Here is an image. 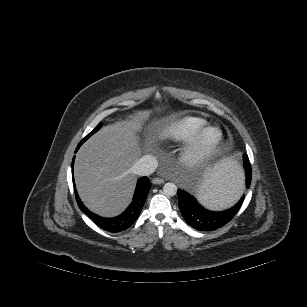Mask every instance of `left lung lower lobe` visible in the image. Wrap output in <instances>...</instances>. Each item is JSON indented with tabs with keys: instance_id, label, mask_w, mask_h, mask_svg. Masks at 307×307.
<instances>
[{
	"instance_id": "1",
	"label": "left lung lower lobe",
	"mask_w": 307,
	"mask_h": 307,
	"mask_svg": "<svg viewBox=\"0 0 307 307\" xmlns=\"http://www.w3.org/2000/svg\"><path fill=\"white\" fill-rule=\"evenodd\" d=\"M244 168L246 174L245 186L241 187V192L245 188L250 187L251 183V165L249 163L248 156L243 155ZM241 192L239 197L241 196ZM179 196V208L185 221L193 228L201 231H211L219 228L233 219L236 213L239 211L244 195L240 200L232 207L224 211L214 212L203 208L189 192L184 190H178Z\"/></svg>"
}]
</instances>
